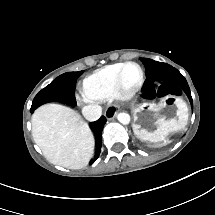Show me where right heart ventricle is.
I'll return each instance as SVG.
<instances>
[{
	"instance_id": "1",
	"label": "right heart ventricle",
	"mask_w": 215,
	"mask_h": 215,
	"mask_svg": "<svg viewBox=\"0 0 215 215\" xmlns=\"http://www.w3.org/2000/svg\"><path fill=\"white\" fill-rule=\"evenodd\" d=\"M122 63L103 66L92 72L85 80L84 86L89 90L92 99L101 101L109 97L115 84L116 72Z\"/></svg>"
}]
</instances>
